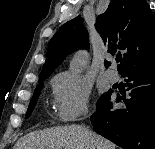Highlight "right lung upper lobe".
<instances>
[{
  "instance_id": "right-lung-upper-lobe-1",
  "label": "right lung upper lobe",
  "mask_w": 155,
  "mask_h": 149,
  "mask_svg": "<svg viewBox=\"0 0 155 149\" xmlns=\"http://www.w3.org/2000/svg\"><path fill=\"white\" fill-rule=\"evenodd\" d=\"M96 28L108 52L126 51L118 65L120 74L131 67L155 64V16L145 0H112L108 9L97 17ZM87 46L82 18L65 23L49 43L39 79L49 77L69 53ZM109 65L105 61V66Z\"/></svg>"
}]
</instances>
